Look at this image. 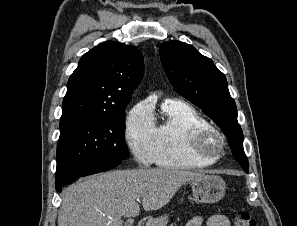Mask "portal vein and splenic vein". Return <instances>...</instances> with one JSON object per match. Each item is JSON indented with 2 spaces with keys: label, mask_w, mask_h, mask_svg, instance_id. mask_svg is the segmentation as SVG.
Segmentation results:
<instances>
[{
  "label": "portal vein and splenic vein",
  "mask_w": 297,
  "mask_h": 226,
  "mask_svg": "<svg viewBox=\"0 0 297 226\" xmlns=\"http://www.w3.org/2000/svg\"><path fill=\"white\" fill-rule=\"evenodd\" d=\"M136 200L139 202L140 201V197H137Z\"/></svg>",
  "instance_id": "1"
}]
</instances>
